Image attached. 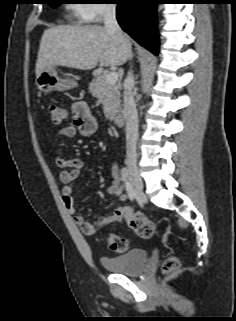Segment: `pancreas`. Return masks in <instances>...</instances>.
Here are the masks:
<instances>
[{
  "label": "pancreas",
  "instance_id": "obj_1",
  "mask_svg": "<svg viewBox=\"0 0 236 321\" xmlns=\"http://www.w3.org/2000/svg\"><path fill=\"white\" fill-rule=\"evenodd\" d=\"M120 84H108L106 74L99 73L90 83L89 90L93 97L98 98L107 119H113L120 110Z\"/></svg>",
  "mask_w": 236,
  "mask_h": 321
}]
</instances>
